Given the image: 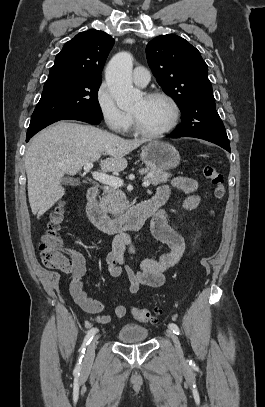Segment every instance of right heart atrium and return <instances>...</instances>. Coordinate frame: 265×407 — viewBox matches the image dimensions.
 Masks as SVG:
<instances>
[{
    "label": "right heart atrium",
    "mask_w": 265,
    "mask_h": 407,
    "mask_svg": "<svg viewBox=\"0 0 265 407\" xmlns=\"http://www.w3.org/2000/svg\"><path fill=\"white\" fill-rule=\"evenodd\" d=\"M97 108L106 125L117 133H124L131 125V116L116 104L107 84L102 82L95 94Z\"/></svg>",
    "instance_id": "right-heart-atrium-1"
}]
</instances>
